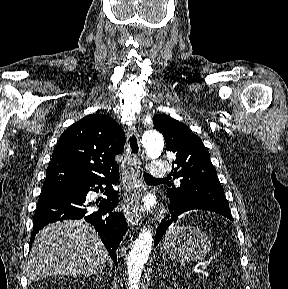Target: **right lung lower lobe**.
<instances>
[{"label": "right lung lower lobe", "mask_w": 288, "mask_h": 289, "mask_svg": "<svg viewBox=\"0 0 288 289\" xmlns=\"http://www.w3.org/2000/svg\"><path fill=\"white\" fill-rule=\"evenodd\" d=\"M118 180L119 169L82 183L42 191L34 214L30 244L36 234L52 222L84 218L98 231L109 255L117 265L116 250L127 230L124 215L112 212L117 206V191L113 189L112 184L116 185ZM103 184L106 185L107 199H102L99 210L92 212L89 210L92 203L86 201V195L89 191L99 192Z\"/></svg>", "instance_id": "right-lung-lower-lobe-1"}]
</instances>
